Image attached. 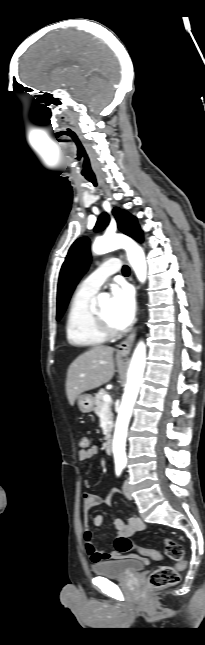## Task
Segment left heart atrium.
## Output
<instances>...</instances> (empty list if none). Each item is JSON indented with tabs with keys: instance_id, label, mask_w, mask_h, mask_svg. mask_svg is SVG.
Segmentation results:
<instances>
[{
	"instance_id": "obj_1",
	"label": "left heart atrium",
	"mask_w": 205,
	"mask_h": 645,
	"mask_svg": "<svg viewBox=\"0 0 205 645\" xmlns=\"http://www.w3.org/2000/svg\"><path fill=\"white\" fill-rule=\"evenodd\" d=\"M111 307L115 325L119 329L128 327L133 321L136 302L133 291L127 286H115L111 290Z\"/></svg>"
}]
</instances>
